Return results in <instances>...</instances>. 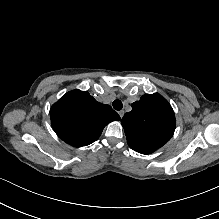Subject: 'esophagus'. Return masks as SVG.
<instances>
[{
    "mask_svg": "<svg viewBox=\"0 0 219 219\" xmlns=\"http://www.w3.org/2000/svg\"><path fill=\"white\" fill-rule=\"evenodd\" d=\"M123 115H124V111H123V110L119 111V116H120L121 118L123 117Z\"/></svg>",
    "mask_w": 219,
    "mask_h": 219,
    "instance_id": "esophagus-1",
    "label": "esophagus"
}]
</instances>
